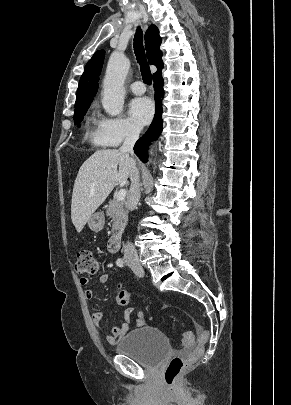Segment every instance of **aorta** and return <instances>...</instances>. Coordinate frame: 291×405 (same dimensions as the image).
I'll return each mask as SVG.
<instances>
[{
    "mask_svg": "<svg viewBox=\"0 0 291 405\" xmlns=\"http://www.w3.org/2000/svg\"><path fill=\"white\" fill-rule=\"evenodd\" d=\"M130 68V61L124 55L112 54L103 81L102 105L111 116L122 112L124 105V81ZM152 154V151L150 152Z\"/></svg>",
    "mask_w": 291,
    "mask_h": 405,
    "instance_id": "762f6f07",
    "label": "aorta"
}]
</instances>
